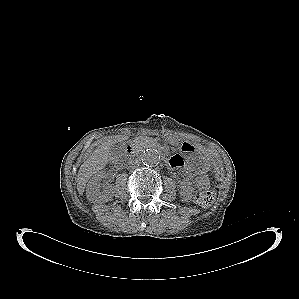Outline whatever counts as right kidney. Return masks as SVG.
Instances as JSON below:
<instances>
[{
  "label": "right kidney",
  "instance_id": "1",
  "mask_svg": "<svg viewBox=\"0 0 299 299\" xmlns=\"http://www.w3.org/2000/svg\"><path fill=\"white\" fill-rule=\"evenodd\" d=\"M107 176L105 171L96 173L88 182L86 195L91 202H108L113 196V186L105 183L101 186L100 181Z\"/></svg>",
  "mask_w": 299,
  "mask_h": 299
}]
</instances>
